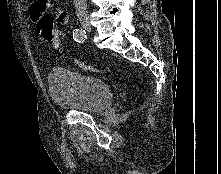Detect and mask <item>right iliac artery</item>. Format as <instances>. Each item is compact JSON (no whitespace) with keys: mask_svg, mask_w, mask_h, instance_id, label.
I'll return each mask as SVG.
<instances>
[{"mask_svg":"<svg viewBox=\"0 0 221 174\" xmlns=\"http://www.w3.org/2000/svg\"><path fill=\"white\" fill-rule=\"evenodd\" d=\"M73 39L79 43L84 42L86 40V32L83 29H75L73 32Z\"/></svg>","mask_w":221,"mask_h":174,"instance_id":"right-iliac-artery-1","label":"right iliac artery"}]
</instances>
